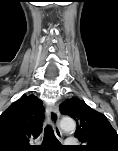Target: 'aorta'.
Listing matches in <instances>:
<instances>
[{"instance_id":"aorta-1","label":"aorta","mask_w":118,"mask_h":151,"mask_svg":"<svg viewBox=\"0 0 118 151\" xmlns=\"http://www.w3.org/2000/svg\"><path fill=\"white\" fill-rule=\"evenodd\" d=\"M60 128L65 132H73L76 129V123L72 118L64 117L60 121Z\"/></svg>"}]
</instances>
